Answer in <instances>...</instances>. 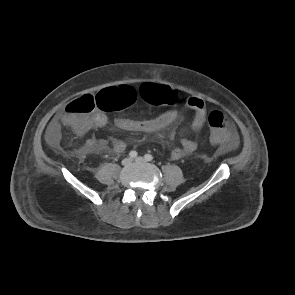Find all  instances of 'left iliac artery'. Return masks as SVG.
<instances>
[{
    "instance_id": "1",
    "label": "left iliac artery",
    "mask_w": 295,
    "mask_h": 295,
    "mask_svg": "<svg viewBox=\"0 0 295 295\" xmlns=\"http://www.w3.org/2000/svg\"><path fill=\"white\" fill-rule=\"evenodd\" d=\"M144 157H145V160L147 161L153 160V156L151 154H146Z\"/></svg>"
}]
</instances>
